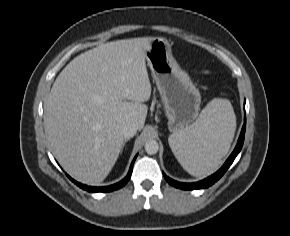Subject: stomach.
Wrapping results in <instances>:
<instances>
[{
	"label": "stomach",
	"instance_id": "obj_1",
	"mask_svg": "<svg viewBox=\"0 0 290 236\" xmlns=\"http://www.w3.org/2000/svg\"><path fill=\"white\" fill-rule=\"evenodd\" d=\"M145 59L156 82L168 118V129L179 132L197 118L201 95L189 75L174 59L168 40L155 37L149 44Z\"/></svg>",
	"mask_w": 290,
	"mask_h": 236
}]
</instances>
